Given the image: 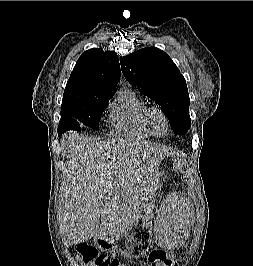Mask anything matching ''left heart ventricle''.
Listing matches in <instances>:
<instances>
[{"label":"left heart ventricle","instance_id":"1","mask_svg":"<svg viewBox=\"0 0 253 266\" xmlns=\"http://www.w3.org/2000/svg\"><path fill=\"white\" fill-rule=\"evenodd\" d=\"M152 125L156 133L158 134H164L166 131V122L165 120L159 115V114H154L152 116Z\"/></svg>","mask_w":253,"mask_h":266}]
</instances>
